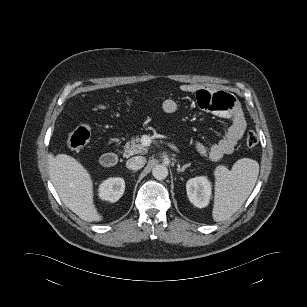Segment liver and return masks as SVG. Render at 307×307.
I'll list each match as a JSON object with an SVG mask.
<instances>
[{"mask_svg": "<svg viewBox=\"0 0 307 307\" xmlns=\"http://www.w3.org/2000/svg\"><path fill=\"white\" fill-rule=\"evenodd\" d=\"M48 170L60 199L72 212L87 222L103 217L93 202V183L83 165L67 154H48Z\"/></svg>", "mask_w": 307, "mask_h": 307, "instance_id": "obj_1", "label": "liver"}]
</instances>
